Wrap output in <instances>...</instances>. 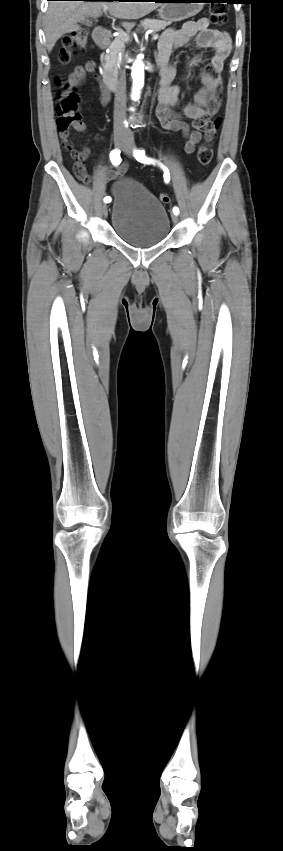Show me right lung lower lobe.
I'll use <instances>...</instances> for the list:
<instances>
[{
  "instance_id": "98d812e1",
  "label": "right lung lower lobe",
  "mask_w": 283,
  "mask_h": 851,
  "mask_svg": "<svg viewBox=\"0 0 283 851\" xmlns=\"http://www.w3.org/2000/svg\"><path fill=\"white\" fill-rule=\"evenodd\" d=\"M84 1H96V0H84ZM103 1H127V0H103Z\"/></svg>"
}]
</instances>
